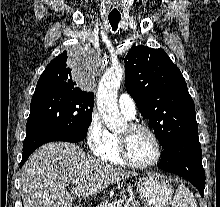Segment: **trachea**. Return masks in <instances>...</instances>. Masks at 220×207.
<instances>
[{"label": "trachea", "mask_w": 220, "mask_h": 207, "mask_svg": "<svg viewBox=\"0 0 220 207\" xmlns=\"http://www.w3.org/2000/svg\"><path fill=\"white\" fill-rule=\"evenodd\" d=\"M120 19L121 17H108V20L111 24L113 31L117 30Z\"/></svg>", "instance_id": "obj_1"}]
</instances>
